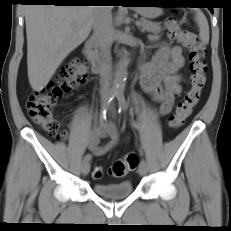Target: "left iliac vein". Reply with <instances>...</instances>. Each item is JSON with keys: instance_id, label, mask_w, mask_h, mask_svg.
<instances>
[{"instance_id": "1", "label": "left iliac vein", "mask_w": 231, "mask_h": 231, "mask_svg": "<svg viewBox=\"0 0 231 231\" xmlns=\"http://www.w3.org/2000/svg\"><path fill=\"white\" fill-rule=\"evenodd\" d=\"M138 171L141 176H145L147 174L148 166H147L146 161L142 160L140 162Z\"/></svg>"}]
</instances>
